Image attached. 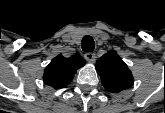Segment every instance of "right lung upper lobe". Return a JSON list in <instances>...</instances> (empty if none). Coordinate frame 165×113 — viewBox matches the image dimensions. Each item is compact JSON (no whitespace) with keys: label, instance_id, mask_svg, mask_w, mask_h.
Segmentation results:
<instances>
[{"label":"right lung upper lobe","instance_id":"obj_1","mask_svg":"<svg viewBox=\"0 0 165 113\" xmlns=\"http://www.w3.org/2000/svg\"><path fill=\"white\" fill-rule=\"evenodd\" d=\"M66 60L68 61V59L64 60V58L58 56L51 61L45 71V81L47 83L59 85L61 76H65L69 72L68 65L66 66L68 64Z\"/></svg>","mask_w":165,"mask_h":113}]
</instances>
